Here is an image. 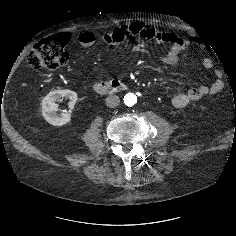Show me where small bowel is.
Wrapping results in <instances>:
<instances>
[{"label": "small bowel", "mask_w": 236, "mask_h": 236, "mask_svg": "<svg viewBox=\"0 0 236 236\" xmlns=\"http://www.w3.org/2000/svg\"><path fill=\"white\" fill-rule=\"evenodd\" d=\"M64 41L69 40V33L63 32L58 34ZM149 39L158 43L169 44L168 51L161 57V60L169 65H176L180 62V54L191 44L198 45L201 41L199 36L193 35L186 37L171 32H163L152 26L141 22L132 23L130 25H122L113 32H107L102 35V41L107 45H117L128 36ZM79 42L83 47H90L95 43L96 36L91 31L80 33ZM139 51H144L143 44H137ZM204 66L209 68L212 63L209 59L204 60ZM223 80L219 72H215L214 81L211 85L196 83L192 87L179 90L172 98V104L176 108H184L189 103L197 101L209 93H218L223 88Z\"/></svg>", "instance_id": "small-bowel-1"}]
</instances>
